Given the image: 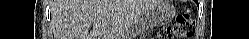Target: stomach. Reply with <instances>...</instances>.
I'll return each mask as SVG.
<instances>
[{
    "label": "stomach",
    "instance_id": "0dacf381",
    "mask_svg": "<svg viewBox=\"0 0 249 39\" xmlns=\"http://www.w3.org/2000/svg\"><path fill=\"white\" fill-rule=\"evenodd\" d=\"M173 15L174 7L166 0H158L156 4L134 19L124 37L134 39L149 29L166 25L172 20Z\"/></svg>",
    "mask_w": 249,
    "mask_h": 39
}]
</instances>
